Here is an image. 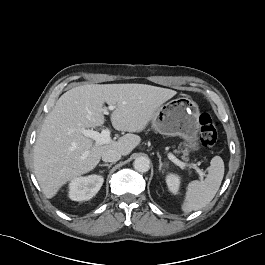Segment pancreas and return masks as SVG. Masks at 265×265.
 Listing matches in <instances>:
<instances>
[{
  "instance_id": "pancreas-1",
  "label": "pancreas",
  "mask_w": 265,
  "mask_h": 265,
  "mask_svg": "<svg viewBox=\"0 0 265 265\" xmlns=\"http://www.w3.org/2000/svg\"><path fill=\"white\" fill-rule=\"evenodd\" d=\"M175 153H183V156H182V159L185 160V161H188V150L187 149H184V150H175L174 151Z\"/></svg>"
}]
</instances>
